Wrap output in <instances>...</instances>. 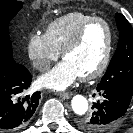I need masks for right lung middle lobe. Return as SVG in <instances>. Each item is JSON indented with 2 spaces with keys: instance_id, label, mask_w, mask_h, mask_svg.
<instances>
[{
  "instance_id": "dd1d6c3e",
  "label": "right lung middle lobe",
  "mask_w": 133,
  "mask_h": 133,
  "mask_svg": "<svg viewBox=\"0 0 133 133\" xmlns=\"http://www.w3.org/2000/svg\"><path fill=\"white\" fill-rule=\"evenodd\" d=\"M22 6L20 1L0 0V67L10 66L15 62L9 37V23Z\"/></svg>"
}]
</instances>
